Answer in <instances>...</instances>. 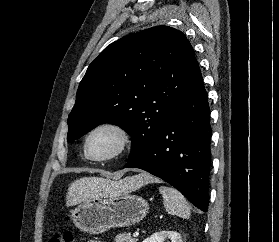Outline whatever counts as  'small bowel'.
Here are the masks:
<instances>
[{
  "label": "small bowel",
  "mask_w": 279,
  "mask_h": 242,
  "mask_svg": "<svg viewBox=\"0 0 279 242\" xmlns=\"http://www.w3.org/2000/svg\"><path fill=\"white\" fill-rule=\"evenodd\" d=\"M88 242H101V241H97V240H91V241H88Z\"/></svg>",
  "instance_id": "1"
}]
</instances>
